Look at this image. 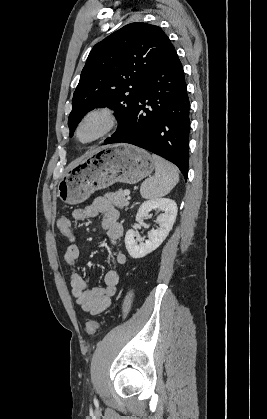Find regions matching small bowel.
Here are the masks:
<instances>
[{
  "label": "small bowel",
  "mask_w": 267,
  "mask_h": 419,
  "mask_svg": "<svg viewBox=\"0 0 267 419\" xmlns=\"http://www.w3.org/2000/svg\"><path fill=\"white\" fill-rule=\"evenodd\" d=\"M98 215H102L101 226L106 231L109 243L113 247H117L123 235V226L118 221V211L107 198L97 197L86 207L75 209L72 213L73 219L76 221ZM78 259L79 248L75 244L69 245L64 254V262L69 270L72 295L83 311L91 315H98L109 308L111 299L117 290L119 275L112 268L104 275V286L88 288L85 278L77 272ZM125 263V255L120 251L117 252L113 264L124 265Z\"/></svg>",
  "instance_id": "obj_1"
}]
</instances>
